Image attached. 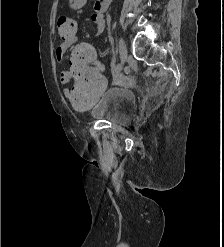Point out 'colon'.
Masks as SVG:
<instances>
[{
  "instance_id": "obj_1",
  "label": "colon",
  "mask_w": 224,
  "mask_h": 247,
  "mask_svg": "<svg viewBox=\"0 0 224 247\" xmlns=\"http://www.w3.org/2000/svg\"><path fill=\"white\" fill-rule=\"evenodd\" d=\"M78 26L74 19L61 16L57 21L58 35L63 39L77 37ZM96 51L90 44H80L73 51L69 75L74 86L69 92V100L74 107L92 106L106 87V80L94 64Z\"/></svg>"
}]
</instances>
